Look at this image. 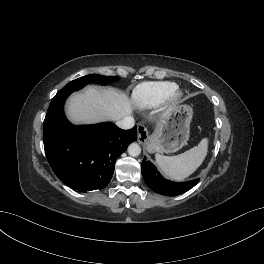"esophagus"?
I'll return each instance as SVG.
<instances>
[{"label": "esophagus", "mask_w": 264, "mask_h": 264, "mask_svg": "<svg viewBox=\"0 0 264 264\" xmlns=\"http://www.w3.org/2000/svg\"><path fill=\"white\" fill-rule=\"evenodd\" d=\"M137 132H138V142L140 144H145L148 139V131L147 128L143 124H139L137 126Z\"/></svg>", "instance_id": "34e87169"}]
</instances>
